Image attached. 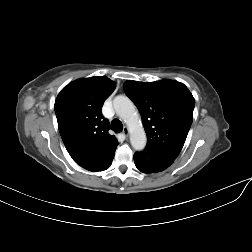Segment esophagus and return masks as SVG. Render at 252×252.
Here are the masks:
<instances>
[{
  "label": "esophagus",
  "instance_id": "34e87169",
  "mask_svg": "<svg viewBox=\"0 0 252 252\" xmlns=\"http://www.w3.org/2000/svg\"><path fill=\"white\" fill-rule=\"evenodd\" d=\"M122 133L125 137H128L129 129L127 127H124Z\"/></svg>",
  "mask_w": 252,
  "mask_h": 252
}]
</instances>
